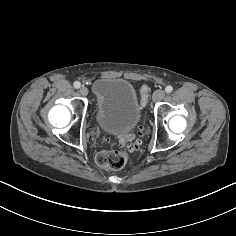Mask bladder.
Returning a JSON list of instances; mask_svg holds the SVG:
<instances>
[{"mask_svg":"<svg viewBox=\"0 0 236 236\" xmlns=\"http://www.w3.org/2000/svg\"><path fill=\"white\" fill-rule=\"evenodd\" d=\"M95 117L111 135L130 133L141 118L142 109L130 82L119 78H101L93 85Z\"/></svg>","mask_w":236,"mask_h":236,"instance_id":"31cf9c89","label":"bladder"}]
</instances>
